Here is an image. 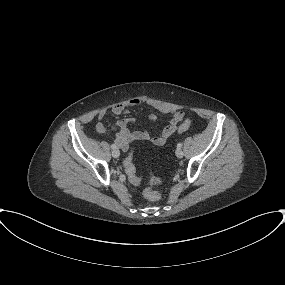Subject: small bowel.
<instances>
[{"instance_id": "1", "label": "small bowel", "mask_w": 285, "mask_h": 285, "mask_svg": "<svg viewBox=\"0 0 285 285\" xmlns=\"http://www.w3.org/2000/svg\"><path fill=\"white\" fill-rule=\"evenodd\" d=\"M147 107L152 108V105L146 101L140 99H133L125 103L115 104L111 108V112L114 115H122L128 113L137 107ZM180 115V119H178ZM106 112L102 111L98 115L99 122L95 126V130L98 133H103L106 131V125L104 123V118ZM185 113L183 111H177L174 113L171 122L165 126L162 132L158 135L152 136L147 131H132L129 129V124L131 119H121L114 123L113 128L116 131V136L114 138V143L123 151H127L129 144L137 141H150L154 145L161 146L164 145L167 140L177 131L178 125L182 120H184ZM157 117L154 114L149 116L150 121H156Z\"/></svg>"}]
</instances>
